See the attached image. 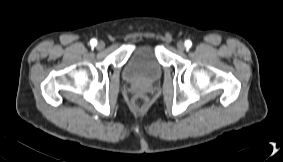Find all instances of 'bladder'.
I'll use <instances>...</instances> for the list:
<instances>
[{"instance_id": "bladder-1", "label": "bladder", "mask_w": 283, "mask_h": 162, "mask_svg": "<svg viewBox=\"0 0 283 162\" xmlns=\"http://www.w3.org/2000/svg\"><path fill=\"white\" fill-rule=\"evenodd\" d=\"M161 74L162 65L156 47L149 42H143L135 47L123 69V77L131 82H154Z\"/></svg>"}]
</instances>
